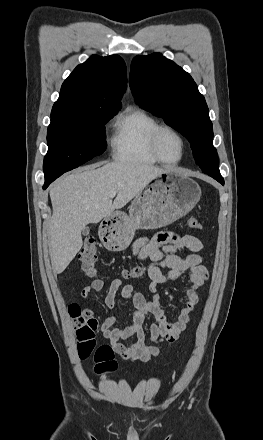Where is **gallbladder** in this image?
Instances as JSON below:
<instances>
[{"label":"gallbladder","mask_w":263,"mask_h":440,"mask_svg":"<svg viewBox=\"0 0 263 440\" xmlns=\"http://www.w3.org/2000/svg\"><path fill=\"white\" fill-rule=\"evenodd\" d=\"M89 232H90L89 227H85V228L82 230V234H83L84 236L88 235Z\"/></svg>","instance_id":"1"}]
</instances>
